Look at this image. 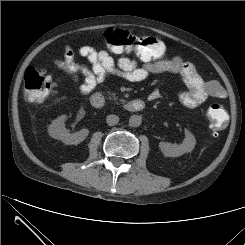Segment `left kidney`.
Masks as SVG:
<instances>
[{"mask_svg": "<svg viewBox=\"0 0 245 245\" xmlns=\"http://www.w3.org/2000/svg\"><path fill=\"white\" fill-rule=\"evenodd\" d=\"M195 145H196V139L194 135L188 130H185V139L182 144L174 145L168 142L159 143V147L161 151L167 157L181 156L186 152L192 151Z\"/></svg>", "mask_w": 245, "mask_h": 245, "instance_id": "obj_1", "label": "left kidney"}]
</instances>
